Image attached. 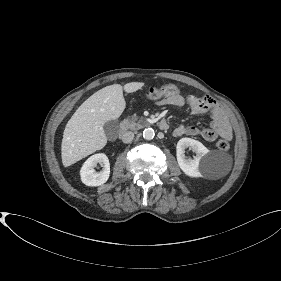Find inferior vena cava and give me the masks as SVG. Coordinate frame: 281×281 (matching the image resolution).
<instances>
[{"instance_id": "1", "label": "inferior vena cava", "mask_w": 281, "mask_h": 281, "mask_svg": "<svg viewBox=\"0 0 281 281\" xmlns=\"http://www.w3.org/2000/svg\"><path fill=\"white\" fill-rule=\"evenodd\" d=\"M134 138V133L127 131L121 135V139L124 143H130Z\"/></svg>"}]
</instances>
